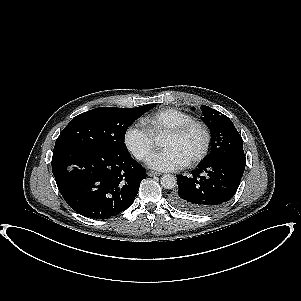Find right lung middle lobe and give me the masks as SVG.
I'll return each instance as SVG.
<instances>
[{
	"mask_svg": "<svg viewBox=\"0 0 301 301\" xmlns=\"http://www.w3.org/2000/svg\"><path fill=\"white\" fill-rule=\"evenodd\" d=\"M154 106L148 104L137 108L100 107L79 114L62 130L53 152L71 147L93 146L126 153V129Z\"/></svg>",
	"mask_w": 301,
	"mask_h": 301,
	"instance_id": "1",
	"label": "right lung middle lobe"
}]
</instances>
